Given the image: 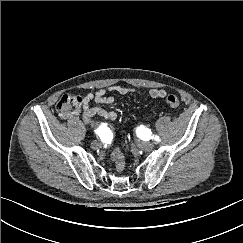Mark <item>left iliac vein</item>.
<instances>
[{"label":"left iliac vein","instance_id":"left-iliac-vein-1","mask_svg":"<svg viewBox=\"0 0 243 243\" xmlns=\"http://www.w3.org/2000/svg\"><path fill=\"white\" fill-rule=\"evenodd\" d=\"M140 148L146 151H150L154 148V144L151 142H144L140 144Z\"/></svg>","mask_w":243,"mask_h":243}]
</instances>
